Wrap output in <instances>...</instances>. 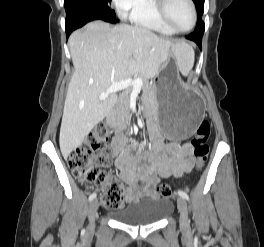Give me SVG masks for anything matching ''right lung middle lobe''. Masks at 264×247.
<instances>
[{
    "label": "right lung middle lobe",
    "instance_id": "obj_1",
    "mask_svg": "<svg viewBox=\"0 0 264 247\" xmlns=\"http://www.w3.org/2000/svg\"><path fill=\"white\" fill-rule=\"evenodd\" d=\"M66 12L70 10H87L96 12L108 18H114L115 12L111 7V0H64Z\"/></svg>",
    "mask_w": 264,
    "mask_h": 247
}]
</instances>
